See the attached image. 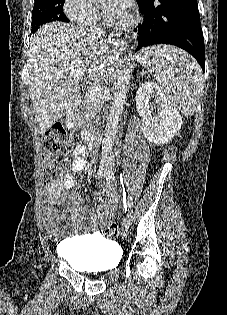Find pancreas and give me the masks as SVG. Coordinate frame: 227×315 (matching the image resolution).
Listing matches in <instances>:
<instances>
[{"label":"pancreas","instance_id":"obj_1","mask_svg":"<svg viewBox=\"0 0 227 315\" xmlns=\"http://www.w3.org/2000/svg\"><path fill=\"white\" fill-rule=\"evenodd\" d=\"M101 92L91 96L88 92L83 101V108L78 113V125L90 129L96 118V110L100 107Z\"/></svg>","mask_w":227,"mask_h":315}]
</instances>
